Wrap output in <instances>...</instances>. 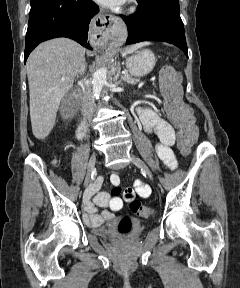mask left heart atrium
Wrapping results in <instances>:
<instances>
[{
    "mask_svg": "<svg viewBox=\"0 0 240 288\" xmlns=\"http://www.w3.org/2000/svg\"><path fill=\"white\" fill-rule=\"evenodd\" d=\"M96 1L108 7H116L121 3H123L124 0H96Z\"/></svg>",
    "mask_w": 240,
    "mask_h": 288,
    "instance_id": "39dd6f15",
    "label": "left heart atrium"
}]
</instances>
